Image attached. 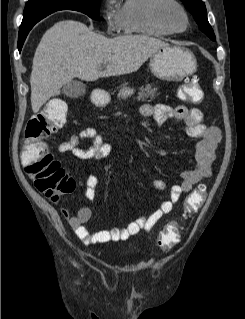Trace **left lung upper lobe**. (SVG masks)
I'll use <instances>...</instances> for the list:
<instances>
[{
    "label": "left lung upper lobe",
    "instance_id": "5c2ea615",
    "mask_svg": "<svg viewBox=\"0 0 245 319\" xmlns=\"http://www.w3.org/2000/svg\"><path fill=\"white\" fill-rule=\"evenodd\" d=\"M194 16L199 28L213 41L216 40L214 32L206 17V7L201 0H181Z\"/></svg>",
    "mask_w": 245,
    "mask_h": 319
}]
</instances>
